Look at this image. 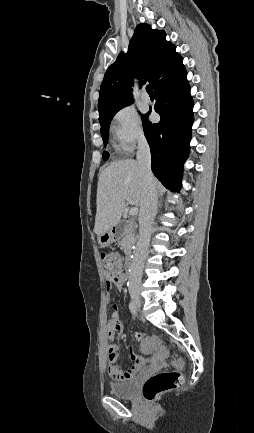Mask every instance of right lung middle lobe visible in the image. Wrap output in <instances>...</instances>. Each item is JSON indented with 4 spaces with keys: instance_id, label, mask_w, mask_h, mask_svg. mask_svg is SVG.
<instances>
[{
    "instance_id": "right-lung-middle-lobe-1",
    "label": "right lung middle lobe",
    "mask_w": 254,
    "mask_h": 433,
    "mask_svg": "<svg viewBox=\"0 0 254 433\" xmlns=\"http://www.w3.org/2000/svg\"><path fill=\"white\" fill-rule=\"evenodd\" d=\"M127 105H129V104H127ZM127 105H124V106H122V107H120V108H117V109H115V110L110 111L109 113L105 114L104 118L100 121V125H101V129H100V130H101V136H102V139H103L104 146H107V144H108L109 125H110V122H111L113 116H114L115 113H117L121 108H123V107H125V106H127ZM108 157H109L108 153H107V152H104V153H103V159H104V160H107Z\"/></svg>"
}]
</instances>
